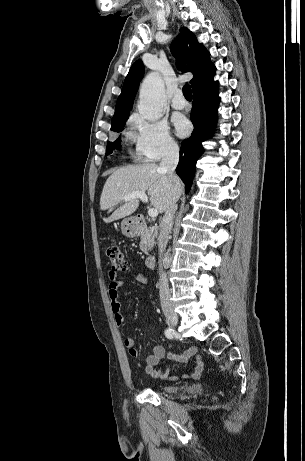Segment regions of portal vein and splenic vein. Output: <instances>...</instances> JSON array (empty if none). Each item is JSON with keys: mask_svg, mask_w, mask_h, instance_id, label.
I'll list each match as a JSON object with an SVG mask.
<instances>
[{"mask_svg": "<svg viewBox=\"0 0 305 461\" xmlns=\"http://www.w3.org/2000/svg\"><path fill=\"white\" fill-rule=\"evenodd\" d=\"M136 198L142 200V201L145 202V203L148 202V197H147L146 193H145V192H139V191H138V192L130 193V194L124 196L123 199H124V201L126 202V201H130V200L136 199ZM148 215H149L150 217H152V218H155V217L158 216V210L155 209V208H150V209L148 210Z\"/></svg>", "mask_w": 305, "mask_h": 461, "instance_id": "obj_1", "label": "portal vein and splenic vein"}]
</instances>
